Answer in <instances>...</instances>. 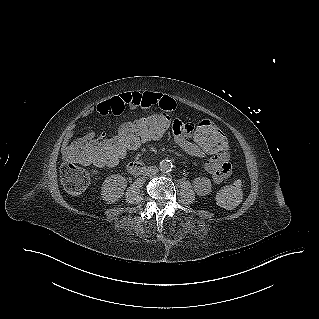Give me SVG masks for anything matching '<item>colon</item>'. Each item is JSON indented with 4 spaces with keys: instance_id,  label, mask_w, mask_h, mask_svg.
Wrapping results in <instances>:
<instances>
[{
    "instance_id": "5ec220e1",
    "label": "colon",
    "mask_w": 319,
    "mask_h": 319,
    "mask_svg": "<svg viewBox=\"0 0 319 319\" xmlns=\"http://www.w3.org/2000/svg\"><path fill=\"white\" fill-rule=\"evenodd\" d=\"M168 131L167 118L150 113L137 115L131 123L101 139L85 134L83 139L75 141L63 151L66 162L61 169V180L65 190L71 195H79L87 189L90 176L81 164L114 167L143 145L164 138ZM192 136L200 148L210 153L218 154L227 150V133L209 119L198 121L194 125ZM241 198L242 183L239 180L225 186L217 194V202L224 208L236 207Z\"/></svg>"
}]
</instances>
